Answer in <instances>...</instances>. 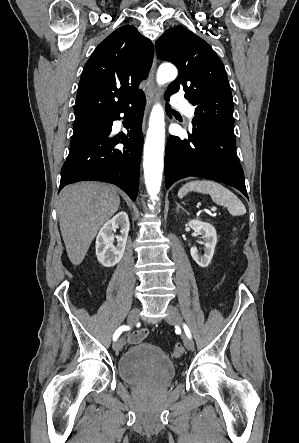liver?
Returning <instances> with one entry per match:
<instances>
[{
	"label": "liver",
	"instance_id": "1",
	"mask_svg": "<svg viewBox=\"0 0 299 443\" xmlns=\"http://www.w3.org/2000/svg\"><path fill=\"white\" fill-rule=\"evenodd\" d=\"M115 187L98 182H80L63 188L57 214L67 255L73 265L83 261L101 226L118 210Z\"/></svg>",
	"mask_w": 299,
	"mask_h": 443
}]
</instances>
